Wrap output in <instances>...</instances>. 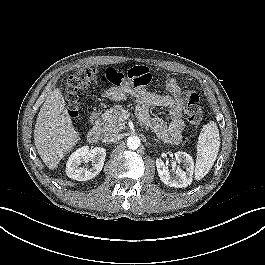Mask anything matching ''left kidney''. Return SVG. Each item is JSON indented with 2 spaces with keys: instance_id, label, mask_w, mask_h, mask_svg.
<instances>
[{
  "instance_id": "1",
  "label": "left kidney",
  "mask_w": 265,
  "mask_h": 265,
  "mask_svg": "<svg viewBox=\"0 0 265 265\" xmlns=\"http://www.w3.org/2000/svg\"><path fill=\"white\" fill-rule=\"evenodd\" d=\"M175 159L178 163H183L185 170L177 167L175 170V175L171 176L170 170L164 162L160 159H156L157 172L160 180L170 187L182 188L187 187L192 182L194 162L192 157L186 152L178 151L175 153Z\"/></svg>"
}]
</instances>
